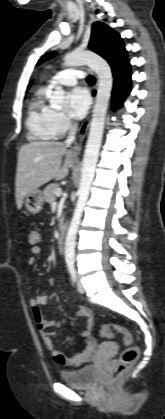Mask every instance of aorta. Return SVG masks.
Returning <instances> with one entry per match:
<instances>
[{
  "label": "aorta",
  "mask_w": 165,
  "mask_h": 419,
  "mask_svg": "<svg viewBox=\"0 0 165 419\" xmlns=\"http://www.w3.org/2000/svg\"><path fill=\"white\" fill-rule=\"evenodd\" d=\"M63 65L65 67L87 65L98 76V88L83 158L78 200L65 240V261L70 265L74 263L76 235L95 175L105 117L113 87V76L107 61L90 51H73L66 54ZM64 99L65 92L63 88L57 86L50 96V106L54 109H60L64 103Z\"/></svg>",
  "instance_id": "aorta-1"
}]
</instances>
